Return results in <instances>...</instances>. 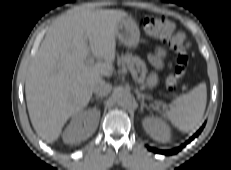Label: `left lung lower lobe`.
<instances>
[{
	"label": "left lung lower lobe",
	"instance_id": "1",
	"mask_svg": "<svg viewBox=\"0 0 231 170\" xmlns=\"http://www.w3.org/2000/svg\"><path fill=\"white\" fill-rule=\"evenodd\" d=\"M204 127V125H203ZM203 127L200 128V130L197 131V133H195L188 141H186L185 144H182L180 147H177L175 149L172 150H156L154 148H149V150L154 151L156 153H160V154H165V155H172V154H176L177 152H179L183 147H185L186 144H188L190 141H192L195 137H197L201 131L203 130Z\"/></svg>",
	"mask_w": 231,
	"mask_h": 170
}]
</instances>
